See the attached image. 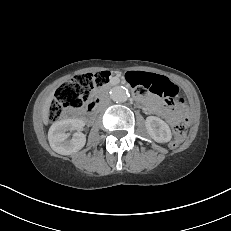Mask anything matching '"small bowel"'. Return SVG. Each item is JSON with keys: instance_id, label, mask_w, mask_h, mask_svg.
I'll return each instance as SVG.
<instances>
[{"instance_id": "c3829d8e", "label": "small bowel", "mask_w": 231, "mask_h": 231, "mask_svg": "<svg viewBox=\"0 0 231 231\" xmlns=\"http://www.w3.org/2000/svg\"><path fill=\"white\" fill-rule=\"evenodd\" d=\"M138 75L140 79L134 80L132 76ZM127 81L136 83L138 91L148 90L151 94L145 102V109L148 113L161 115L167 118L170 123L175 121L173 112L170 109L171 99L168 95L176 90L174 84L166 76L147 71H131L127 74ZM184 111V107L181 108Z\"/></svg>"}]
</instances>
